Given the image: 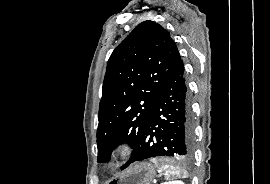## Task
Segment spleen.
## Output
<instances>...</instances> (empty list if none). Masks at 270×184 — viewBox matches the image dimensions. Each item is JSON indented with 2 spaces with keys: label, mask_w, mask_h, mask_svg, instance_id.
Returning a JSON list of instances; mask_svg holds the SVG:
<instances>
[{
  "label": "spleen",
  "mask_w": 270,
  "mask_h": 184,
  "mask_svg": "<svg viewBox=\"0 0 270 184\" xmlns=\"http://www.w3.org/2000/svg\"><path fill=\"white\" fill-rule=\"evenodd\" d=\"M160 169L164 173L166 180H171L176 177H180V171L176 167L171 165L170 163H164L160 165ZM166 183L168 182H164L161 184H166Z\"/></svg>",
  "instance_id": "3e777b00"
}]
</instances>
